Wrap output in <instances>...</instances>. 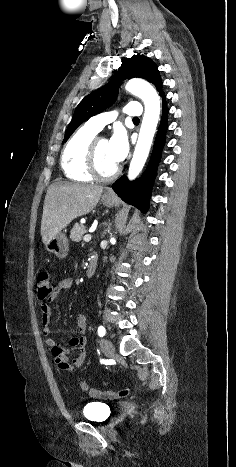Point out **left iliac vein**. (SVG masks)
<instances>
[{
	"instance_id": "obj_1",
	"label": "left iliac vein",
	"mask_w": 236,
	"mask_h": 467,
	"mask_svg": "<svg viewBox=\"0 0 236 467\" xmlns=\"http://www.w3.org/2000/svg\"><path fill=\"white\" fill-rule=\"evenodd\" d=\"M100 347H101L103 353L108 357H111L115 353L114 345L112 344L111 341H109L107 339H104V338L101 339Z\"/></svg>"
}]
</instances>
